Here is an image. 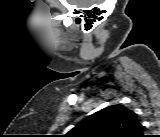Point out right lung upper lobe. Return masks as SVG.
Here are the masks:
<instances>
[{
	"label": "right lung upper lobe",
	"instance_id": "obj_1",
	"mask_svg": "<svg viewBox=\"0 0 160 137\" xmlns=\"http://www.w3.org/2000/svg\"><path fill=\"white\" fill-rule=\"evenodd\" d=\"M143 131L132 110L112 105L83 119L68 134L70 137H140Z\"/></svg>",
	"mask_w": 160,
	"mask_h": 137
}]
</instances>
